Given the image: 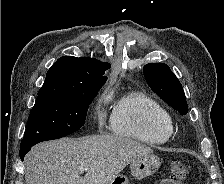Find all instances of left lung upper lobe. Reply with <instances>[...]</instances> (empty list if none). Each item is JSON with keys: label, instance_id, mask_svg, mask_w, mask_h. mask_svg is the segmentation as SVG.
I'll return each mask as SVG.
<instances>
[{"label": "left lung upper lobe", "instance_id": "1", "mask_svg": "<svg viewBox=\"0 0 224 184\" xmlns=\"http://www.w3.org/2000/svg\"><path fill=\"white\" fill-rule=\"evenodd\" d=\"M144 76L150 88L181 115H186L188 106L181 83L164 63L144 66Z\"/></svg>", "mask_w": 224, "mask_h": 184}]
</instances>
